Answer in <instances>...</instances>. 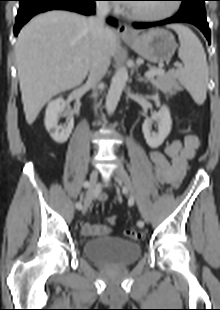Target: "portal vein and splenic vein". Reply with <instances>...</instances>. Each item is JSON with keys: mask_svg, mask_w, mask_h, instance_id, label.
Here are the masks:
<instances>
[{"mask_svg": "<svg viewBox=\"0 0 220 310\" xmlns=\"http://www.w3.org/2000/svg\"><path fill=\"white\" fill-rule=\"evenodd\" d=\"M175 66H179L178 63H175ZM164 73V70L163 69H155V70H150V71H147L145 73V77L146 78H151V77H154L155 75H161Z\"/></svg>", "mask_w": 220, "mask_h": 310, "instance_id": "obj_1", "label": "portal vein and splenic vein"}]
</instances>
